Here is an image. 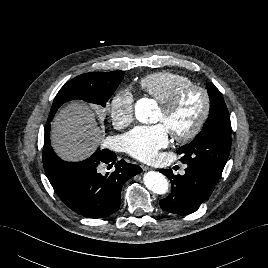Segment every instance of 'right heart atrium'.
<instances>
[{
	"label": "right heart atrium",
	"instance_id": "right-heart-atrium-1",
	"mask_svg": "<svg viewBox=\"0 0 268 268\" xmlns=\"http://www.w3.org/2000/svg\"><path fill=\"white\" fill-rule=\"evenodd\" d=\"M112 121L118 126H127L134 119V96L128 88H122L112 97L109 105Z\"/></svg>",
	"mask_w": 268,
	"mask_h": 268
}]
</instances>
